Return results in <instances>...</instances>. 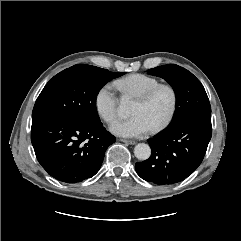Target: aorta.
<instances>
[{"label": "aorta", "instance_id": "aorta-1", "mask_svg": "<svg viewBox=\"0 0 241 241\" xmlns=\"http://www.w3.org/2000/svg\"><path fill=\"white\" fill-rule=\"evenodd\" d=\"M129 103L126 100H122L119 106V113L125 115L128 113ZM134 155L139 160H147L151 155V148L148 144L139 143L134 148Z\"/></svg>", "mask_w": 241, "mask_h": 241}]
</instances>
